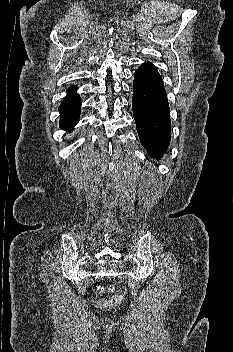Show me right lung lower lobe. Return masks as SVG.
Returning a JSON list of instances; mask_svg holds the SVG:
<instances>
[{
  "label": "right lung lower lobe",
  "instance_id": "98d812e1",
  "mask_svg": "<svg viewBox=\"0 0 233 352\" xmlns=\"http://www.w3.org/2000/svg\"><path fill=\"white\" fill-rule=\"evenodd\" d=\"M76 90L75 86L70 87L59 107L60 127L64 130L73 129L79 121L81 101Z\"/></svg>",
  "mask_w": 233,
  "mask_h": 352
}]
</instances>
